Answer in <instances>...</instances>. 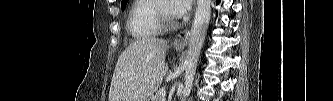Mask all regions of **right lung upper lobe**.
<instances>
[{
    "mask_svg": "<svg viewBox=\"0 0 333 101\" xmlns=\"http://www.w3.org/2000/svg\"><path fill=\"white\" fill-rule=\"evenodd\" d=\"M125 2H127V0H122V3H121V4H123V3H125Z\"/></svg>",
    "mask_w": 333,
    "mask_h": 101,
    "instance_id": "right-lung-upper-lobe-1",
    "label": "right lung upper lobe"
}]
</instances>
